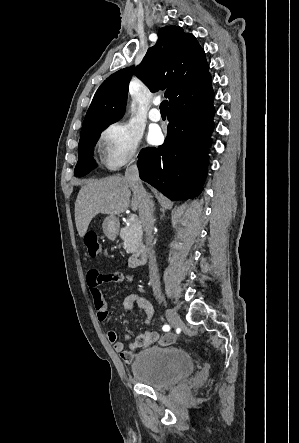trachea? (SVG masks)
<instances>
[{"label":"trachea","instance_id":"3493384b","mask_svg":"<svg viewBox=\"0 0 299 443\" xmlns=\"http://www.w3.org/2000/svg\"><path fill=\"white\" fill-rule=\"evenodd\" d=\"M167 107H168V101L167 100L162 101V103L160 104V111L161 112H166L167 111Z\"/></svg>","mask_w":299,"mask_h":443}]
</instances>
